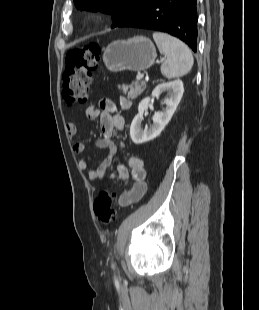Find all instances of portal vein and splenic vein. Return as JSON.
<instances>
[{
  "mask_svg": "<svg viewBox=\"0 0 259 310\" xmlns=\"http://www.w3.org/2000/svg\"><path fill=\"white\" fill-rule=\"evenodd\" d=\"M143 77H144V74H139V75H137V80L139 81V80H142L143 79Z\"/></svg>",
  "mask_w": 259,
  "mask_h": 310,
  "instance_id": "obj_1",
  "label": "portal vein and splenic vein"
}]
</instances>
